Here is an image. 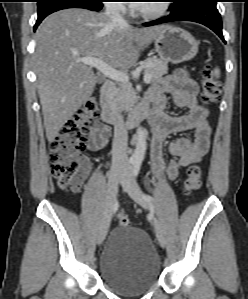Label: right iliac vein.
Wrapping results in <instances>:
<instances>
[{"label": "right iliac vein", "mask_w": 248, "mask_h": 299, "mask_svg": "<svg viewBox=\"0 0 248 299\" xmlns=\"http://www.w3.org/2000/svg\"><path fill=\"white\" fill-rule=\"evenodd\" d=\"M121 173H122V167L119 165H113L110 169L107 197H106V206H105V211L98 232L99 245L104 241L110 226L114 205L117 199L118 183L121 179Z\"/></svg>", "instance_id": "obj_1"}]
</instances>
